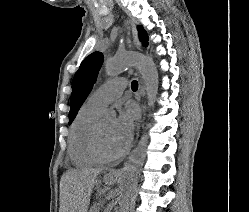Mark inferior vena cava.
<instances>
[{
	"label": "inferior vena cava",
	"mask_w": 249,
	"mask_h": 212,
	"mask_svg": "<svg viewBox=\"0 0 249 212\" xmlns=\"http://www.w3.org/2000/svg\"><path fill=\"white\" fill-rule=\"evenodd\" d=\"M127 176H128V174H127V172H126V174H125V176H124V180H125V178H127Z\"/></svg>",
	"instance_id": "1"
}]
</instances>
